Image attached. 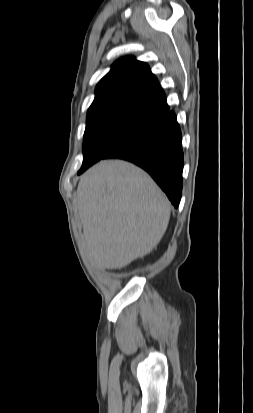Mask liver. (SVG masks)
Segmentation results:
<instances>
[{
    "mask_svg": "<svg viewBox=\"0 0 253 413\" xmlns=\"http://www.w3.org/2000/svg\"><path fill=\"white\" fill-rule=\"evenodd\" d=\"M84 247L91 264L121 269L150 253L170 219L165 194L141 168L105 160L90 168L77 187Z\"/></svg>",
    "mask_w": 253,
    "mask_h": 413,
    "instance_id": "obj_1",
    "label": "liver"
}]
</instances>
